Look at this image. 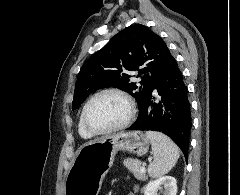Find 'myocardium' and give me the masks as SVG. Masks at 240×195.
Segmentation results:
<instances>
[{
	"mask_svg": "<svg viewBox=\"0 0 240 195\" xmlns=\"http://www.w3.org/2000/svg\"><path fill=\"white\" fill-rule=\"evenodd\" d=\"M107 94H115V95L121 96L128 104V109H129L128 115L123 122H121L120 124H118L116 126H113L111 128H107V129L96 130L87 124V120H86L87 111H88V108L90 107V105L96 99H98L104 95H107ZM135 116H136V106H135V103H134V100L132 99V97L127 92H125L121 89L108 88V89H104V90L97 92L87 101V103L85 104L83 111H82L81 123H82L84 129L86 131H88L89 134L92 136L109 135V134L116 133V132L126 129L133 122V120L135 119Z\"/></svg>",
	"mask_w": 240,
	"mask_h": 195,
	"instance_id": "myocardium-1",
	"label": "myocardium"
}]
</instances>
